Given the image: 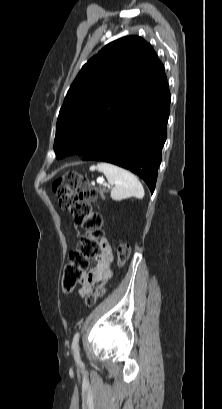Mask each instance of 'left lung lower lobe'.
<instances>
[{
  "label": "left lung lower lobe",
  "instance_id": "0a47b994",
  "mask_svg": "<svg viewBox=\"0 0 222 409\" xmlns=\"http://www.w3.org/2000/svg\"><path fill=\"white\" fill-rule=\"evenodd\" d=\"M167 80L146 97L128 102L98 132L82 160L109 162L140 176L155 189L170 113Z\"/></svg>",
  "mask_w": 222,
  "mask_h": 409
}]
</instances>
